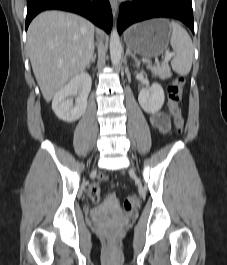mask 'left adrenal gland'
Segmentation results:
<instances>
[{
    "instance_id": "left-adrenal-gland-1",
    "label": "left adrenal gland",
    "mask_w": 227,
    "mask_h": 265,
    "mask_svg": "<svg viewBox=\"0 0 227 265\" xmlns=\"http://www.w3.org/2000/svg\"><path fill=\"white\" fill-rule=\"evenodd\" d=\"M126 55H130L136 62H137V58L135 57V55L130 51V49H126Z\"/></svg>"
}]
</instances>
